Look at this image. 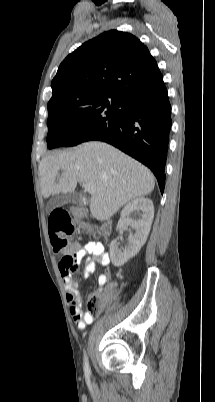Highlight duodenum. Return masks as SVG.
Returning <instances> with one entry per match:
<instances>
[{
    "mask_svg": "<svg viewBox=\"0 0 215 402\" xmlns=\"http://www.w3.org/2000/svg\"><path fill=\"white\" fill-rule=\"evenodd\" d=\"M76 213H77L78 215H82V211H81L80 209H77V210H76ZM110 228H111V226H110V223H109L108 221L103 222V223L101 224V226H100V232H101V234L104 235V236L108 235V234L110 233Z\"/></svg>",
    "mask_w": 215,
    "mask_h": 402,
    "instance_id": "410a0bca",
    "label": "duodenum"
}]
</instances>
